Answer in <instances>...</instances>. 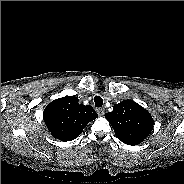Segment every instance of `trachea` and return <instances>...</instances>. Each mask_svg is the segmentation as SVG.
Wrapping results in <instances>:
<instances>
[{
    "label": "trachea",
    "instance_id": "trachea-1",
    "mask_svg": "<svg viewBox=\"0 0 184 184\" xmlns=\"http://www.w3.org/2000/svg\"><path fill=\"white\" fill-rule=\"evenodd\" d=\"M94 102L96 107H102L103 105V99L101 96H95Z\"/></svg>",
    "mask_w": 184,
    "mask_h": 184
}]
</instances>
